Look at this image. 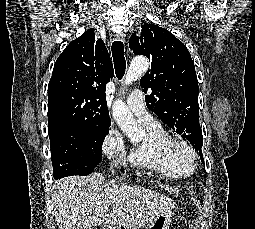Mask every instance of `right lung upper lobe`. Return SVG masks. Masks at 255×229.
<instances>
[{
	"instance_id": "cb5924a9",
	"label": "right lung upper lobe",
	"mask_w": 255,
	"mask_h": 229,
	"mask_svg": "<svg viewBox=\"0 0 255 229\" xmlns=\"http://www.w3.org/2000/svg\"><path fill=\"white\" fill-rule=\"evenodd\" d=\"M114 76L104 42L92 29L73 40L55 62L48 84V125L110 126L106 84Z\"/></svg>"
}]
</instances>
